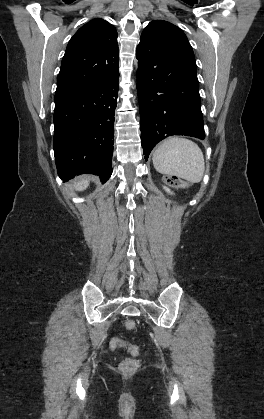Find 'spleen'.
<instances>
[{
  "mask_svg": "<svg viewBox=\"0 0 264 419\" xmlns=\"http://www.w3.org/2000/svg\"><path fill=\"white\" fill-rule=\"evenodd\" d=\"M154 168L161 174L177 176L191 183L202 180L205 163L199 146L186 138L170 137L153 153Z\"/></svg>",
  "mask_w": 264,
  "mask_h": 419,
  "instance_id": "3e777b00",
  "label": "spleen"
}]
</instances>
